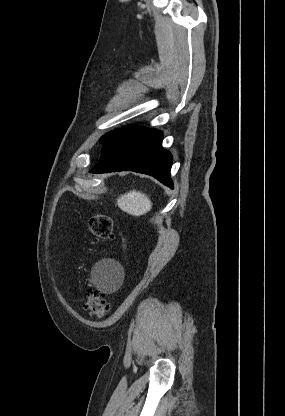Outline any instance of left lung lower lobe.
Masks as SVG:
<instances>
[{"label":"left lung lower lobe","instance_id":"obj_1","mask_svg":"<svg viewBox=\"0 0 285 416\" xmlns=\"http://www.w3.org/2000/svg\"><path fill=\"white\" fill-rule=\"evenodd\" d=\"M162 133L155 129L127 126L104 143L102 155L91 173L131 170L157 178L173 188L171 154L162 148Z\"/></svg>","mask_w":285,"mask_h":416}]
</instances>
